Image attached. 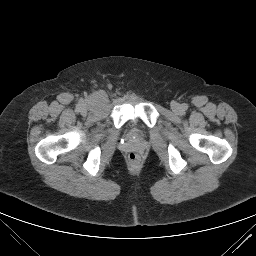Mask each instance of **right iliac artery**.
Here are the masks:
<instances>
[{
  "label": "right iliac artery",
  "instance_id": "obj_1",
  "mask_svg": "<svg viewBox=\"0 0 256 256\" xmlns=\"http://www.w3.org/2000/svg\"><path fill=\"white\" fill-rule=\"evenodd\" d=\"M77 109H80V104L78 105Z\"/></svg>",
  "mask_w": 256,
  "mask_h": 256
}]
</instances>
